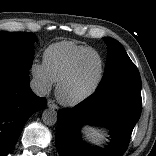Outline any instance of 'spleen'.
<instances>
[{
	"label": "spleen",
	"mask_w": 156,
	"mask_h": 156,
	"mask_svg": "<svg viewBox=\"0 0 156 156\" xmlns=\"http://www.w3.org/2000/svg\"><path fill=\"white\" fill-rule=\"evenodd\" d=\"M83 133L87 140L92 143L101 144L104 143L106 137L104 136V130H99L91 126H85L83 128Z\"/></svg>",
	"instance_id": "3e777b00"
}]
</instances>
